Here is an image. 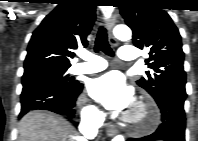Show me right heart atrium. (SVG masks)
<instances>
[{"mask_svg":"<svg viewBox=\"0 0 198 141\" xmlns=\"http://www.w3.org/2000/svg\"><path fill=\"white\" fill-rule=\"evenodd\" d=\"M83 114L87 119H90V120H95L99 118V113L93 106L85 107Z\"/></svg>","mask_w":198,"mask_h":141,"instance_id":"1","label":"right heart atrium"}]
</instances>
